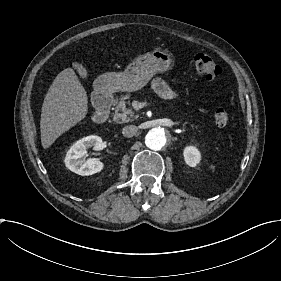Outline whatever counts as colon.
Returning a JSON list of instances; mask_svg holds the SVG:
<instances>
[{
  "instance_id": "1",
  "label": "colon",
  "mask_w": 281,
  "mask_h": 281,
  "mask_svg": "<svg viewBox=\"0 0 281 281\" xmlns=\"http://www.w3.org/2000/svg\"><path fill=\"white\" fill-rule=\"evenodd\" d=\"M194 65L201 77L211 83L219 82L223 78V70L216 64L212 57L207 54H195ZM229 110L221 105L215 109L214 124L218 128H225L229 123Z\"/></svg>"
}]
</instances>
